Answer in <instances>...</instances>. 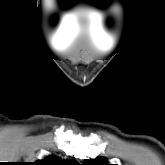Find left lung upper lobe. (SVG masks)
I'll return each mask as SVG.
<instances>
[{"label":"left lung upper lobe","mask_w":165,"mask_h":165,"mask_svg":"<svg viewBox=\"0 0 165 165\" xmlns=\"http://www.w3.org/2000/svg\"><path fill=\"white\" fill-rule=\"evenodd\" d=\"M83 165H110L106 158L97 157L95 159L85 160Z\"/></svg>","instance_id":"left-lung-upper-lobe-1"}]
</instances>
